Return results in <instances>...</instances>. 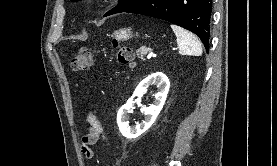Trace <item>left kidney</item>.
Wrapping results in <instances>:
<instances>
[{"label": "left kidney", "mask_w": 277, "mask_h": 166, "mask_svg": "<svg viewBox=\"0 0 277 166\" xmlns=\"http://www.w3.org/2000/svg\"><path fill=\"white\" fill-rule=\"evenodd\" d=\"M151 85H156L158 89L155 95V101L149 107L143 109L145 120L136 126L130 127L128 125V118L133 107V99L134 97H141ZM169 87V79L162 72L153 73L139 83L133 95L128 99L126 104L119 109L117 114V124L124 137L130 139L137 138L153 125L164 106Z\"/></svg>", "instance_id": "obj_1"}]
</instances>
